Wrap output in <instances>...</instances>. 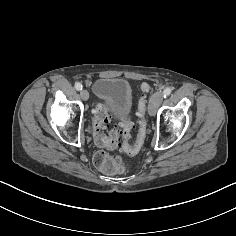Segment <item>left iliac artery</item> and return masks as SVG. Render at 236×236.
Returning a JSON list of instances; mask_svg holds the SVG:
<instances>
[{
  "label": "left iliac artery",
  "mask_w": 236,
  "mask_h": 236,
  "mask_svg": "<svg viewBox=\"0 0 236 236\" xmlns=\"http://www.w3.org/2000/svg\"><path fill=\"white\" fill-rule=\"evenodd\" d=\"M171 91H172L171 88H169V87L165 88L163 91L164 97L166 98L167 96H169L171 94Z\"/></svg>",
  "instance_id": "44dca946"
}]
</instances>
